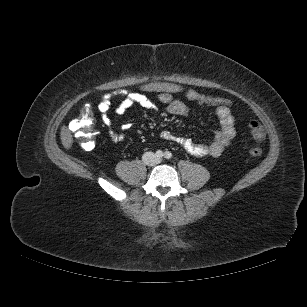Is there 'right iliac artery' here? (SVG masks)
I'll return each mask as SVG.
<instances>
[{
    "label": "right iliac artery",
    "instance_id": "obj_1",
    "mask_svg": "<svg viewBox=\"0 0 307 307\" xmlns=\"http://www.w3.org/2000/svg\"><path fill=\"white\" fill-rule=\"evenodd\" d=\"M163 152L161 150H158L155 154V156L158 158V159H161L163 157Z\"/></svg>",
    "mask_w": 307,
    "mask_h": 307
}]
</instances>
